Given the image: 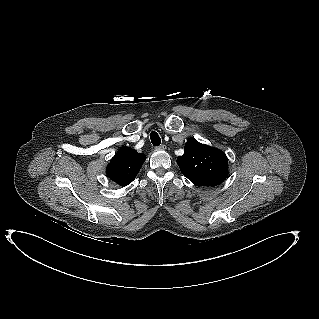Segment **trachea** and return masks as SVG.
<instances>
[{"mask_svg":"<svg viewBox=\"0 0 319 319\" xmlns=\"http://www.w3.org/2000/svg\"><path fill=\"white\" fill-rule=\"evenodd\" d=\"M150 139H151V142L154 146H159L161 144V139H160V136L158 135L157 132L155 131H152L150 133Z\"/></svg>","mask_w":319,"mask_h":319,"instance_id":"3493384b","label":"trachea"}]
</instances>
